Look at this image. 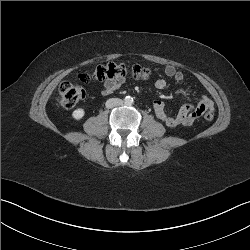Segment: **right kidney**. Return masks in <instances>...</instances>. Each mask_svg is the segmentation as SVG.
<instances>
[{
	"label": "right kidney",
	"mask_w": 250,
	"mask_h": 250,
	"mask_svg": "<svg viewBox=\"0 0 250 250\" xmlns=\"http://www.w3.org/2000/svg\"><path fill=\"white\" fill-rule=\"evenodd\" d=\"M84 115H85V111H84V109H82V108L76 109V110H74L73 113H72V117H73L75 120H80V119H82Z\"/></svg>",
	"instance_id": "1"
}]
</instances>
